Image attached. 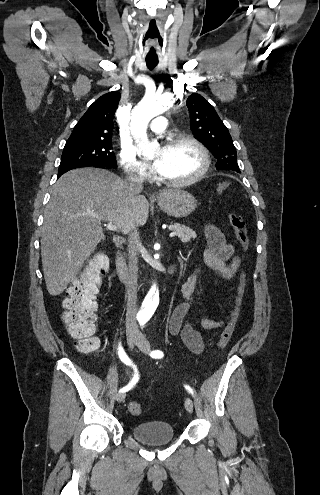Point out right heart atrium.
Returning a JSON list of instances; mask_svg holds the SVG:
<instances>
[{
  "instance_id": "obj_1",
  "label": "right heart atrium",
  "mask_w": 320,
  "mask_h": 495,
  "mask_svg": "<svg viewBox=\"0 0 320 495\" xmlns=\"http://www.w3.org/2000/svg\"><path fill=\"white\" fill-rule=\"evenodd\" d=\"M119 160L121 167L128 176L138 179L149 177L147 166L137 159L133 147L122 145L119 152Z\"/></svg>"
}]
</instances>
